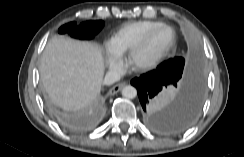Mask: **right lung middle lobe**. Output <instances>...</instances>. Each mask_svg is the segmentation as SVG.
<instances>
[{
  "label": "right lung middle lobe",
  "instance_id": "right-lung-middle-lobe-1",
  "mask_svg": "<svg viewBox=\"0 0 244 157\" xmlns=\"http://www.w3.org/2000/svg\"><path fill=\"white\" fill-rule=\"evenodd\" d=\"M103 21H87L76 26L75 22L68 23L59 29V33H70L72 37L79 39L93 38L103 27Z\"/></svg>",
  "mask_w": 244,
  "mask_h": 157
}]
</instances>
